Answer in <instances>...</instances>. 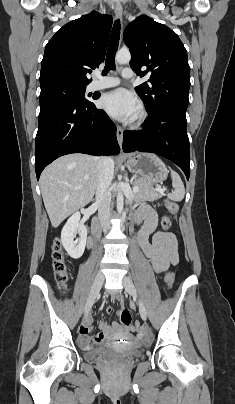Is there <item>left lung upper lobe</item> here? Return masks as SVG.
I'll list each match as a JSON object with an SVG mask.
<instances>
[{
  "instance_id": "obj_1",
  "label": "left lung upper lobe",
  "mask_w": 235,
  "mask_h": 404,
  "mask_svg": "<svg viewBox=\"0 0 235 404\" xmlns=\"http://www.w3.org/2000/svg\"><path fill=\"white\" fill-rule=\"evenodd\" d=\"M124 40L131 52V68L140 77H150L148 83L135 88L148 113L165 107L186 110L190 67L187 51L178 35L142 15L127 26Z\"/></svg>"
}]
</instances>
